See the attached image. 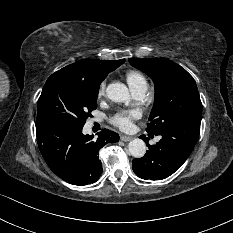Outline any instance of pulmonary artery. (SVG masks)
I'll return each mask as SVG.
<instances>
[{
	"label": "pulmonary artery",
	"instance_id": "e3ab8cb5",
	"mask_svg": "<svg viewBox=\"0 0 233 233\" xmlns=\"http://www.w3.org/2000/svg\"><path fill=\"white\" fill-rule=\"evenodd\" d=\"M145 89L135 90L133 91V95L136 99H142L145 96ZM159 138H157L158 140Z\"/></svg>",
	"mask_w": 233,
	"mask_h": 233
}]
</instances>
